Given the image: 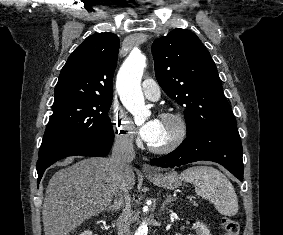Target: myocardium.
I'll return each mask as SVG.
<instances>
[{"mask_svg": "<svg viewBox=\"0 0 283 235\" xmlns=\"http://www.w3.org/2000/svg\"><path fill=\"white\" fill-rule=\"evenodd\" d=\"M161 118L166 122L173 123L176 126V131L168 143L161 146L148 144V149L156 154H168L177 149L185 141L188 135V124L185 118L178 113H163Z\"/></svg>", "mask_w": 283, "mask_h": 235, "instance_id": "1", "label": "myocardium"}]
</instances>
